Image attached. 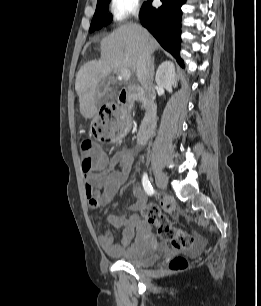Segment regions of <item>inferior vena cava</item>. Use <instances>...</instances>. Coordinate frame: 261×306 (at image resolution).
Returning a JSON list of instances; mask_svg holds the SVG:
<instances>
[{"label": "inferior vena cava", "instance_id": "inferior-vena-cava-1", "mask_svg": "<svg viewBox=\"0 0 261 306\" xmlns=\"http://www.w3.org/2000/svg\"><path fill=\"white\" fill-rule=\"evenodd\" d=\"M136 72L139 82L146 91L147 97L150 99V101H154V75L151 73V53L147 49H144L138 57Z\"/></svg>", "mask_w": 261, "mask_h": 306}]
</instances>
